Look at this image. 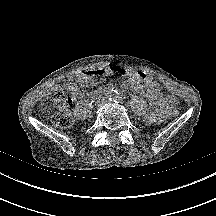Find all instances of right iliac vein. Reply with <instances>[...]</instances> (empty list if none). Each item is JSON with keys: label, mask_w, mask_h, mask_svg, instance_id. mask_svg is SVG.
<instances>
[{"label": "right iliac vein", "mask_w": 216, "mask_h": 216, "mask_svg": "<svg viewBox=\"0 0 216 216\" xmlns=\"http://www.w3.org/2000/svg\"><path fill=\"white\" fill-rule=\"evenodd\" d=\"M104 101L103 100H98L96 103H95V106L96 108H99L103 105Z\"/></svg>", "instance_id": "1"}]
</instances>
